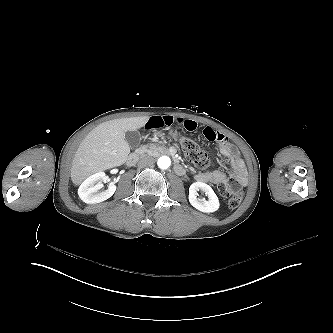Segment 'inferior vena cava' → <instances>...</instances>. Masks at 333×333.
I'll use <instances>...</instances> for the list:
<instances>
[{"label": "inferior vena cava", "mask_w": 333, "mask_h": 333, "mask_svg": "<svg viewBox=\"0 0 333 333\" xmlns=\"http://www.w3.org/2000/svg\"><path fill=\"white\" fill-rule=\"evenodd\" d=\"M155 164V159L151 156H144L138 161V167L144 168L148 166H153Z\"/></svg>", "instance_id": "1"}]
</instances>
